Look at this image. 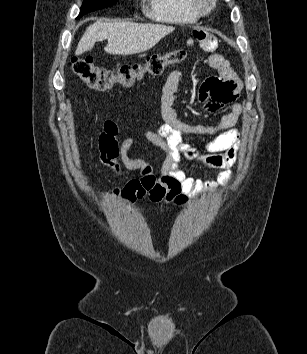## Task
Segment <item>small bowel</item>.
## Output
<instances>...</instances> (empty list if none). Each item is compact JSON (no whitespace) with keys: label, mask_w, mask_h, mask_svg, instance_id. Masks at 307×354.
<instances>
[{"label":"small bowel","mask_w":307,"mask_h":354,"mask_svg":"<svg viewBox=\"0 0 307 354\" xmlns=\"http://www.w3.org/2000/svg\"><path fill=\"white\" fill-rule=\"evenodd\" d=\"M193 37L207 51L217 48V40L205 31L195 30ZM207 64L221 74V77L208 78L200 88V98L206 111L214 114L237 98L240 83L223 56L212 54L207 59ZM180 79L181 71L178 69L171 71L166 78L161 95L163 122L157 129L145 132V138L165 153V161L159 176L155 174L152 165L129 156L134 144L133 136L118 142L117 124L112 120H107L103 124V131L99 137L101 161L118 174L122 173L123 167L140 172V178L129 180L124 186L116 187L112 191V195L119 196L124 202L131 203L137 199L148 198L154 203L174 202L181 205L203 191L227 185L233 178L231 168L237 160L239 150L236 126L242 113V106L234 103L231 110L216 124L185 123L178 118L173 107ZM187 135L212 137L204 147V154L184 143V137ZM183 157L199 162L204 167L221 170L217 180L203 182L188 176L181 166Z\"/></svg>","instance_id":"obj_1"}]
</instances>
